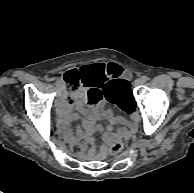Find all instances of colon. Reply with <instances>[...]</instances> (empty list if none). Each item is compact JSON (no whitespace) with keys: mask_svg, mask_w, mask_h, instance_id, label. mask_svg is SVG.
I'll use <instances>...</instances> for the list:
<instances>
[{"mask_svg":"<svg viewBox=\"0 0 194 193\" xmlns=\"http://www.w3.org/2000/svg\"><path fill=\"white\" fill-rule=\"evenodd\" d=\"M61 79L64 83L65 90L67 92V98L69 101H72L74 95L79 91L82 86L81 73L77 70H69L62 75ZM127 85V81L123 79H117L112 81L106 87V97L109 100L113 101L115 99L116 92L121 89H126ZM130 112L132 111L130 110ZM124 146L125 144L123 137H119L110 145L109 151L111 154H118L122 152Z\"/></svg>","mask_w":194,"mask_h":193,"instance_id":"1","label":"colon"}]
</instances>
